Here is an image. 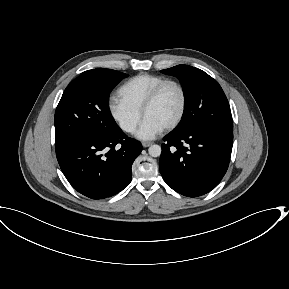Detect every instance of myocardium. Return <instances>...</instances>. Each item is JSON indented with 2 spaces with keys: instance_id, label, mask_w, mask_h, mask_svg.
<instances>
[{
  "instance_id": "obj_1",
  "label": "myocardium",
  "mask_w": 289,
  "mask_h": 289,
  "mask_svg": "<svg viewBox=\"0 0 289 289\" xmlns=\"http://www.w3.org/2000/svg\"><path fill=\"white\" fill-rule=\"evenodd\" d=\"M175 85L181 94V107H180V111L177 115V117L166 127H164L165 131H171L173 129H175L183 120L185 113H186V109H187V102H188V98H187V92L185 87L182 85V83H180L177 80H173V79H165L162 82H160L159 84H157L148 94V96L146 97L142 108H141V114L144 117L147 110L154 104V102L156 101V99L158 98L160 92L163 90V88L167 85Z\"/></svg>"
}]
</instances>
